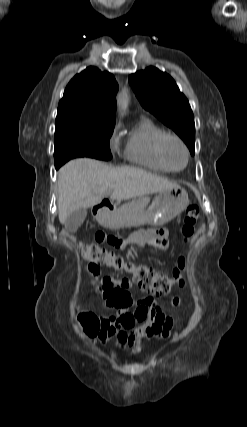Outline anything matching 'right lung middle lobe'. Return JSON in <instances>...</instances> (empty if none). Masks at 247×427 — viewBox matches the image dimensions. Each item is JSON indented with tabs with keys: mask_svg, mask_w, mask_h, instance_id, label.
<instances>
[{
	"mask_svg": "<svg viewBox=\"0 0 247 427\" xmlns=\"http://www.w3.org/2000/svg\"><path fill=\"white\" fill-rule=\"evenodd\" d=\"M115 122H95L72 113L58 114L55 121L54 160L63 165L75 157L112 158L109 138Z\"/></svg>",
	"mask_w": 247,
	"mask_h": 427,
	"instance_id": "1",
	"label": "right lung middle lobe"
}]
</instances>
